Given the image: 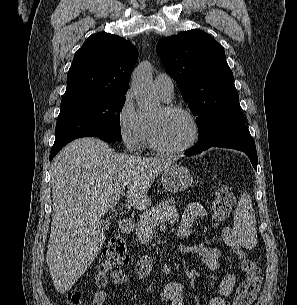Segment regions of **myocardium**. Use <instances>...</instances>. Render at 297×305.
I'll use <instances>...</instances> for the list:
<instances>
[{"label":"myocardium","mask_w":297,"mask_h":305,"mask_svg":"<svg viewBox=\"0 0 297 305\" xmlns=\"http://www.w3.org/2000/svg\"><path fill=\"white\" fill-rule=\"evenodd\" d=\"M163 109L167 113H181V114L185 115L186 117H188V119L191 121L192 127H193L192 137L186 144H184L182 146H179L176 148L165 147L158 140L155 125H154L153 121L150 120L149 121V144H150V146L155 151H157L158 153L163 154V155H176V154H181L183 152H186L191 147H193L194 144L199 139L200 126H199L197 117L191 110H189L183 106H180V105L168 104V105L164 106Z\"/></svg>","instance_id":"myocardium-1"}]
</instances>
